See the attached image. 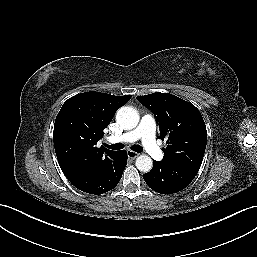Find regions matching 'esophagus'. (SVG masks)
I'll list each match as a JSON object with an SVG mask.
<instances>
[{"mask_svg":"<svg viewBox=\"0 0 257 257\" xmlns=\"http://www.w3.org/2000/svg\"><path fill=\"white\" fill-rule=\"evenodd\" d=\"M127 155H128L129 158L135 159L136 157H138L139 154L134 152V151L128 150Z\"/></svg>","mask_w":257,"mask_h":257,"instance_id":"obj_1","label":"esophagus"}]
</instances>
